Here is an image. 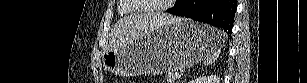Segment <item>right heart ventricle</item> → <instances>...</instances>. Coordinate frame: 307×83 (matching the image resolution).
<instances>
[{
    "instance_id": "right-heart-ventricle-1",
    "label": "right heart ventricle",
    "mask_w": 307,
    "mask_h": 83,
    "mask_svg": "<svg viewBox=\"0 0 307 83\" xmlns=\"http://www.w3.org/2000/svg\"><path fill=\"white\" fill-rule=\"evenodd\" d=\"M119 11L122 14H128V13H132V12H137V10H135L133 8V6H131L130 4L129 5L128 4H121Z\"/></svg>"
}]
</instances>
